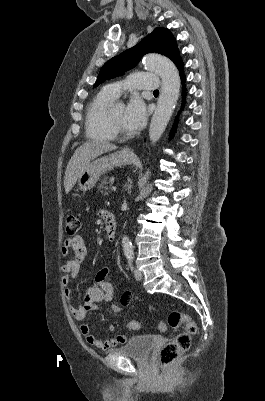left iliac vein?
Here are the masks:
<instances>
[{"label": "left iliac vein", "instance_id": "4c4485c4", "mask_svg": "<svg viewBox=\"0 0 265 401\" xmlns=\"http://www.w3.org/2000/svg\"><path fill=\"white\" fill-rule=\"evenodd\" d=\"M134 276H135L136 280L142 279V273L137 268H135V270H134Z\"/></svg>", "mask_w": 265, "mask_h": 401}]
</instances>
